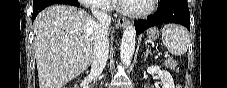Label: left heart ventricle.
<instances>
[{
    "label": "left heart ventricle",
    "instance_id": "b2bd125f",
    "mask_svg": "<svg viewBox=\"0 0 227 88\" xmlns=\"http://www.w3.org/2000/svg\"><path fill=\"white\" fill-rule=\"evenodd\" d=\"M128 6H132L133 8L135 9H144L147 7V1L146 0H138V1H135L134 3L128 5Z\"/></svg>",
    "mask_w": 227,
    "mask_h": 88
}]
</instances>
